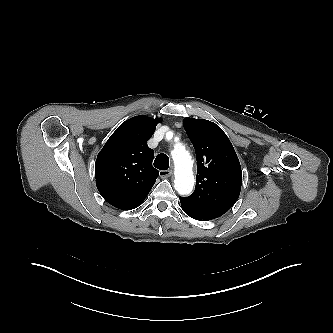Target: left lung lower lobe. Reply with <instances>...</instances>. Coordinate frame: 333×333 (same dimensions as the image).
Masks as SVG:
<instances>
[{
    "instance_id": "0a47b994",
    "label": "left lung lower lobe",
    "mask_w": 333,
    "mask_h": 333,
    "mask_svg": "<svg viewBox=\"0 0 333 333\" xmlns=\"http://www.w3.org/2000/svg\"><path fill=\"white\" fill-rule=\"evenodd\" d=\"M181 206L184 210V212L190 216L193 219L196 220H200V221H208V220H212L214 218H217L218 216H216L213 213H210L208 211L190 206V205H186L184 203H181Z\"/></svg>"
}]
</instances>
